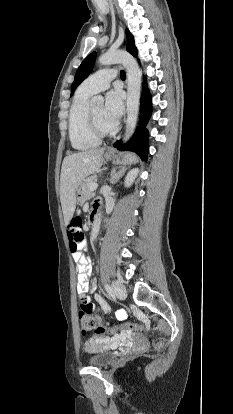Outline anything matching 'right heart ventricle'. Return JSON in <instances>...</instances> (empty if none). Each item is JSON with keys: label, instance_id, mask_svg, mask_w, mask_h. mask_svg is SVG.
Listing matches in <instances>:
<instances>
[{"label": "right heart ventricle", "instance_id": "1", "mask_svg": "<svg viewBox=\"0 0 233 414\" xmlns=\"http://www.w3.org/2000/svg\"><path fill=\"white\" fill-rule=\"evenodd\" d=\"M91 94L79 88L73 98L68 115V132L71 145L77 150L97 147L100 139L93 136L87 127V101Z\"/></svg>", "mask_w": 233, "mask_h": 414}]
</instances>
